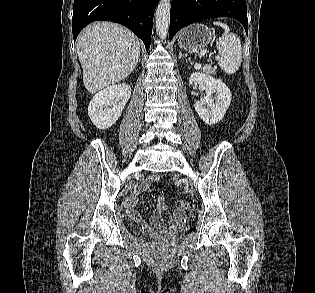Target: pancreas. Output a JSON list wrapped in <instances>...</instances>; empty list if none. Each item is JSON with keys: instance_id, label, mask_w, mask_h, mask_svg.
Returning a JSON list of instances; mask_svg holds the SVG:
<instances>
[{"instance_id": "pancreas-1", "label": "pancreas", "mask_w": 315, "mask_h": 293, "mask_svg": "<svg viewBox=\"0 0 315 293\" xmlns=\"http://www.w3.org/2000/svg\"><path fill=\"white\" fill-rule=\"evenodd\" d=\"M202 70L207 74H216V67H212L210 65L203 66Z\"/></svg>"}]
</instances>
